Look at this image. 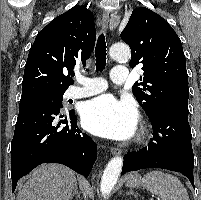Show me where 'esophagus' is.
I'll use <instances>...</instances> for the list:
<instances>
[{"label":"esophagus","mask_w":201,"mask_h":200,"mask_svg":"<svg viewBox=\"0 0 201 200\" xmlns=\"http://www.w3.org/2000/svg\"><path fill=\"white\" fill-rule=\"evenodd\" d=\"M111 18H113V17L110 16L108 12L103 13L102 23H103L104 29H106V30L108 29ZM117 21H118V18H117ZM121 152H122V150L120 148H117V147H112L111 148V154L112 155L117 156V155H120Z\"/></svg>","instance_id":"34e87169"}]
</instances>
